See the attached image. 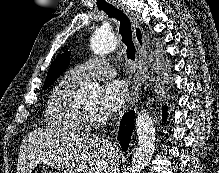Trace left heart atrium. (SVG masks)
<instances>
[{
  "label": "left heart atrium",
  "mask_w": 219,
  "mask_h": 173,
  "mask_svg": "<svg viewBox=\"0 0 219 173\" xmlns=\"http://www.w3.org/2000/svg\"><path fill=\"white\" fill-rule=\"evenodd\" d=\"M129 97L128 85L123 80H111L104 84L100 102V111L110 114L124 106Z\"/></svg>",
  "instance_id": "39dd6f15"
}]
</instances>
